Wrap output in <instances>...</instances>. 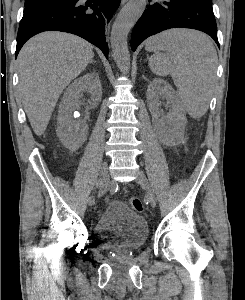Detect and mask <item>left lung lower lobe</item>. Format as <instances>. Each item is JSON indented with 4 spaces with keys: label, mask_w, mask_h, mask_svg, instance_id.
<instances>
[{
    "label": "left lung lower lobe",
    "mask_w": 245,
    "mask_h": 300,
    "mask_svg": "<svg viewBox=\"0 0 245 300\" xmlns=\"http://www.w3.org/2000/svg\"><path fill=\"white\" fill-rule=\"evenodd\" d=\"M178 27L203 31L219 46L211 0H158L150 2L134 26L131 48L135 51L149 36Z\"/></svg>",
    "instance_id": "obj_1"
}]
</instances>
